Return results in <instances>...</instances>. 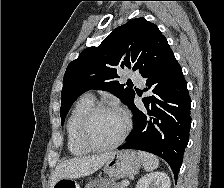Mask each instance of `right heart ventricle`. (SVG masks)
<instances>
[{"label": "right heart ventricle", "mask_w": 224, "mask_h": 188, "mask_svg": "<svg viewBox=\"0 0 224 188\" xmlns=\"http://www.w3.org/2000/svg\"><path fill=\"white\" fill-rule=\"evenodd\" d=\"M94 105L91 95L82 96L72 108L66 123L67 148L72 155L81 156L87 154L90 149L82 144L79 138V126L84 115Z\"/></svg>", "instance_id": "e07e8e85"}]
</instances>
